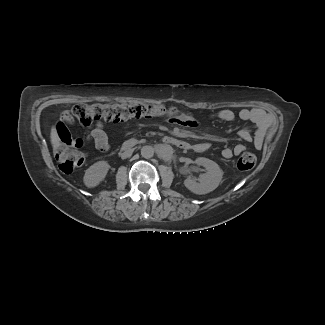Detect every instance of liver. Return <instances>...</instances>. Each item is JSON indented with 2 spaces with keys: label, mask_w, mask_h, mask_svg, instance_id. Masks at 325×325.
<instances>
[{
  "label": "liver",
  "mask_w": 325,
  "mask_h": 325,
  "mask_svg": "<svg viewBox=\"0 0 325 325\" xmlns=\"http://www.w3.org/2000/svg\"><path fill=\"white\" fill-rule=\"evenodd\" d=\"M50 138H51L52 146L55 149H57L60 146V140H59L58 133H57L55 127H52V129H51Z\"/></svg>",
  "instance_id": "obj_1"
}]
</instances>
